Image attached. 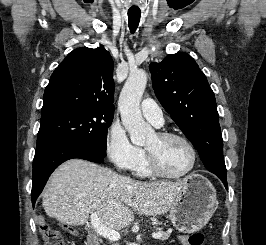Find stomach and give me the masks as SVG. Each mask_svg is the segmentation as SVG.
<instances>
[{"mask_svg":"<svg viewBox=\"0 0 266 245\" xmlns=\"http://www.w3.org/2000/svg\"><path fill=\"white\" fill-rule=\"evenodd\" d=\"M169 209V219L180 233H196L210 221L216 207V191L203 175L191 173Z\"/></svg>","mask_w":266,"mask_h":245,"instance_id":"1","label":"stomach"}]
</instances>
